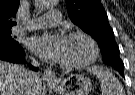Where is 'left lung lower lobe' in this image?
Returning a JSON list of instances; mask_svg holds the SVG:
<instances>
[{
	"label": "left lung lower lobe",
	"instance_id": "left-lung-lower-lobe-1",
	"mask_svg": "<svg viewBox=\"0 0 135 95\" xmlns=\"http://www.w3.org/2000/svg\"><path fill=\"white\" fill-rule=\"evenodd\" d=\"M104 63L107 65L113 66L120 73V75L124 77V73H123L124 65H123V67H121L117 63H107L105 61H104Z\"/></svg>",
	"mask_w": 135,
	"mask_h": 95
}]
</instances>
